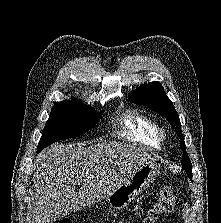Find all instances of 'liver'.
<instances>
[{"mask_svg":"<svg viewBox=\"0 0 221 223\" xmlns=\"http://www.w3.org/2000/svg\"><path fill=\"white\" fill-rule=\"evenodd\" d=\"M155 161L152 153L131 144L55 143L34 161L31 223H53L90 207L109 196L136 166ZM79 182L82 187L76 192Z\"/></svg>","mask_w":221,"mask_h":223,"instance_id":"liver-1","label":"liver"}]
</instances>
